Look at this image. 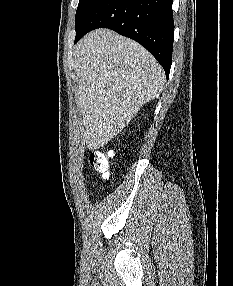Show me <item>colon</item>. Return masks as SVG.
Here are the masks:
<instances>
[{
  "label": "colon",
  "instance_id": "1",
  "mask_svg": "<svg viewBox=\"0 0 233 286\" xmlns=\"http://www.w3.org/2000/svg\"><path fill=\"white\" fill-rule=\"evenodd\" d=\"M112 155L111 151L95 150L89 154V162L96 171L104 177H108Z\"/></svg>",
  "mask_w": 233,
  "mask_h": 286
}]
</instances>
